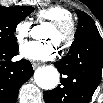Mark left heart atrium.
<instances>
[{
	"label": "left heart atrium",
	"instance_id": "1",
	"mask_svg": "<svg viewBox=\"0 0 103 103\" xmlns=\"http://www.w3.org/2000/svg\"><path fill=\"white\" fill-rule=\"evenodd\" d=\"M57 52V45L53 40L29 41L20 47L23 58L33 61L52 59Z\"/></svg>",
	"mask_w": 103,
	"mask_h": 103
}]
</instances>
